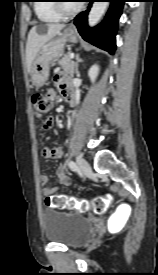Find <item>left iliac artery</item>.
<instances>
[{
    "mask_svg": "<svg viewBox=\"0 0 158 275\" xmlns=\"http://www.w3.org/2000/svg\"><path fill=\"white\" fill-rule=\"evenodd\" d=\"M68 166H69V168H70L72 171H77V169H78L76 163L73 162V161H69V162H68Z\"/></svg>",
    "mask_w": 158,
    "mask_h": 275,
    "instance_id": "1",
    "label": "left iliac artery"
}]
</instances>
